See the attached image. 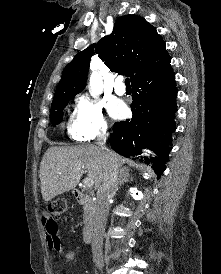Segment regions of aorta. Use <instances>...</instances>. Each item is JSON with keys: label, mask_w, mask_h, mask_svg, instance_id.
<instances>
[{"label": "aorta", "mask_w": 221, "mask_h": 274, "mask_svg": "<svg viewBox=\"0 0 221 274\" xmlns=\"http://www.w3.org/2000/svg\"><path fill=\"white\" fill-rule=\"evenodd\" d=\"M89 90L92 96H97L102 92V80L97 73H92L90 76Z\"/></svg>", "instance_id": "1"}]
</instances>
